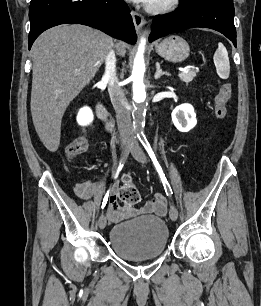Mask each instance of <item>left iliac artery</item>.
<instances>
[{
	"instance_id": "left-iliac-artery-1",
	"label": "left iliac artery",
	"mask_w": 261,
	"mask_h": 306,
	"mask_svg": "<svg viewBox=\"0 0 261 306\" xmlns=\"http://www.w3.org/2000/svg\"><path fill=\"white\" fill-rule=\"evenodd\" d=\"M138 138L139 140L141 141V143L143 144L145 150L147 151L151 161L153 162L156 170L158 171L160 177H161V180L163 182V185H164V188H165V192L167 194V196H171L173 193H172V190H171V187L164 175V172H163V169L161 167V165L159 164L149 142L147 141L146 137L144 136V134H141V135H138Z\"/></svg>"
}]
</instances>
